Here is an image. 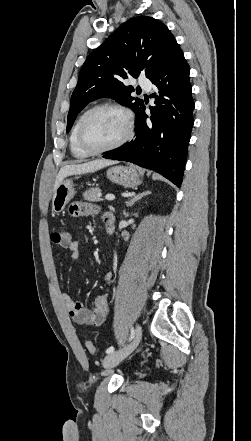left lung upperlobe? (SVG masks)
<instances>
[{"mask_svg": "<svg viewBox=\"0 0 251 441\" xmlns=\"http://www.w3.org/2000/svg\"><path fill=\"white\" fill-rule=\"evenodd\" d=\"M177 44L162 22L147 16L123 23L86 59L72 93L67 117V132L76 116L91 101L102 97L116 99L135 113L143 100L131 96L132 86L123 80L145 73L151 78L166 62Z\"/></svg>", "mask_w": 251, "mask_h": 441, "instance_id": "5c2ea615", "label": "left lung upper lobe"}]
</instances>
